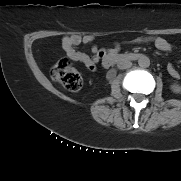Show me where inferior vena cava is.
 Returning <instances> with one entry per match:
<instances>
[{"mask_svg":"<svg viewBox=\"0 0 181 181\" xmlns=\"http://www.w3.org/2000/svg\"><path fill=\"white\" fill-rule=\"evenodd\" d=\"M131 66H132V62L124 61L120 65H118V68L119 69H127V68H130Z\"/></svg>","mask_w":181,"mask_h":181,"instance_id":"obj_1","label":"inferior vena cava"}]
</instances>
